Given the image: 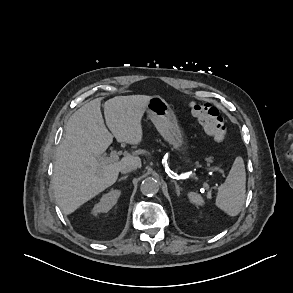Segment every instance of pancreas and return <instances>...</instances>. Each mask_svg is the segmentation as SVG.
I'll list each match as a JSON object with an SVG mask.
<instances>
[{
  "label": "pancreas",
  "mask_w": 293,
  "mask_h": 293,
  "mask_svg": "<svg viewBox=\"0 0 293 293\" xmlns=\"http://www.w3.org/2000/svg\"><path fill=\"white\" fill-rule=\"evenodd\" d=\"M196 165L198 166V167H200L201 165L198 163V162H196Z\"/></svg>",
  "instance_id": "pancreas-1"
}]
</instances>
